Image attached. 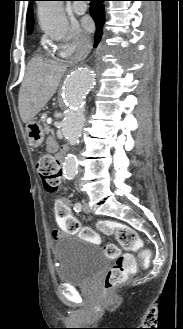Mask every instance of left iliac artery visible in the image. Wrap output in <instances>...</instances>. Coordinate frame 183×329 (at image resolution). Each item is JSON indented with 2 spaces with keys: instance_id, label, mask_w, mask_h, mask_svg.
I'll list each match as a JSON object with an SVG mask.
<instances>
[{
  "instance_id": "44dca946",
  "label": "left iliac artery",
  "mask_w": 183,
  "mask_h": 329,
  "mask_svg": "<svg viewBox=\"0 0 183 329\" xmlns=\"http://www.w3.org/2000/svg\"><path fill=\"white\" fill-rule=\"evenodd\" d=\"M81 209H82V205H81V203H80V202H76V203H75V206H74V210H75V212H80Z\"/></svg>"
}]
</instances>
